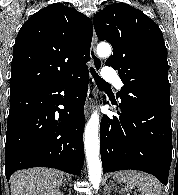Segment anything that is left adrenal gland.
<instances>
[{
    "instance_id": "a2214340",
    "label": "left adrenal gland",
    "mask_w": 178,
    "mask_h": 195,
    "mask_svg": "<svg viewBox=\"0 0 178 195\" xmlns=\"http://www.w3.org/2000/svg\"><path fill=\"white\" fill-rule=\"evenodd\" d=\"M116 189V187L114 186L113 182H111L108 186V191L110 192V190H114Z\"/></svg>"
}]
</instances>
